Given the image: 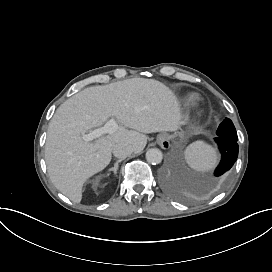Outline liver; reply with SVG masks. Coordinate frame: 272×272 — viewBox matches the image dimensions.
<instances>
[{
    "instance_id": "obj_1",
    "label": "liver",
    "mask_w": 272,
    "mask_h": 272,
    "mask_svg": "<svg viewBox=\"0 0 272 272\" xmlns=\"http://www.w3.org/2000/svg\"><path fill=\"white\" fill-rule=\"evenodd\" d=\"M110 117L119 123L113 134L86 142L82 135ZM174 93L154 79L131 78L85 88L61 104L47 131L45 160L54 186L79 203L84 182L111 161L113 147L126 143L135 153L147 133L176 131L183 122Z\"/></svg>"
}]
</instances>
